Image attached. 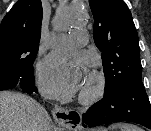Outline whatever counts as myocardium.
<instances>
[{
  "label": "myocardium",
  "mask_w": 151,
  "mask_h": 131,
  "mask_svg": "<svg viewBox=\"0 0 151 131\" xmlns=\"http://www.w3.org/2000/svg\"><path fill=\"white\" fill-rule=\"evenodd\" d=\"M106 90V79L100 72H93L89 78V85L79 96L83 104H93L100 100Z\"/></svg>",
  "instance_id": "1"
}]
</instances>
